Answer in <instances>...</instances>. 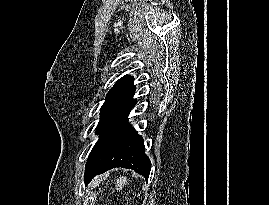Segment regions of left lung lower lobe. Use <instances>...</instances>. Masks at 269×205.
Masks as SVG:
<instances>
[{
	"label": "left lung lower lobe",
	"mask_w": 269,
	"mask_h": 205,
	"mask_svg": "<svg viewBox=\"0 0 269 205\" xmlns=\"http://www.w3.org/2000/svg\"><path fill=\"white\" fill-rule=\"evenodd\" d=\"M136 105L132 102L125 110L107 121L99 130L98 141L89 154L84 174L88 184L97 174L112 168L132 169L148 180L151 163L145 154L142 136L128 124V115Z\"/></svg>",
	"instance_id": "0a47b994"
}]
</instances>
